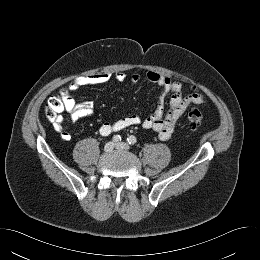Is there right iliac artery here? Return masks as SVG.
Masks as SVG:
<instances>
[{"instance_id": "right-iliac-artery-1", "label": "right iliac artery", "mask_w": 260, "mask_h": 260, "mask_svg": "<svg viewBox=\"0 0 260 260\" xmlns=\"http://www.w3.org/2000/svg\"><path fill=\"white\" fill-rule=\"evenodd\" d=\"M121 141V136L120 135H114L113 136V142L119 143Z\"/></svg>"}]
</instances>
